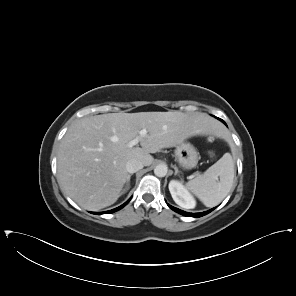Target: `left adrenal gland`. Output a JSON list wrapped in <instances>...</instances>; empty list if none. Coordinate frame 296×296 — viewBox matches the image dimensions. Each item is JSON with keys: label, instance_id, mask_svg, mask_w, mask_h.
I'll use <instances>...</instances> for the list:
<instances>
[{"label": "left adrenal gland", "instance_id": "a2214340", "mask_svg": "<svg viewBox=\"0 0 296 296\" xmlns=\"http://www.w3.org/2000/svg\"><path fill=\"white\" fill-rule=\"evenodd\" d=\"M173 168H174V170H175V173H174V175H177V174H179V173H180V171L178 170V168H177L176 166H174Z\"/></svg>", "mask_w": 296, "mask_h": 296}]
</instances>
